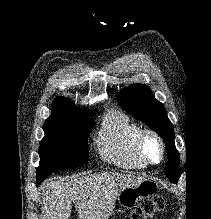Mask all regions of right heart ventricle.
<instances>
[{
	"mask_svg": "<svg viewBox=\"0 0 211 219\" xmlns=\"http://www.w3.org/2000/svg\"><path fill=\"white\" fill-rule=\"evenodd\" d=\"M140 126L125 113L108 112L96 138L100 156L107 162L126 170L147 167L136 151V139Z\"/></svg>",
	"mask_w": 211,
	"mask_h": 219,
	"instance_id": "e07e8e85",
	"label": "right heart ventricle"
}]
</instances>
